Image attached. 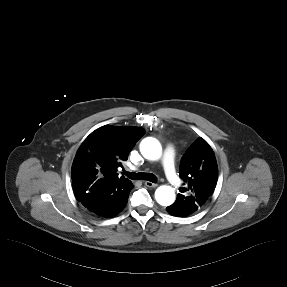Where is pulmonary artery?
<instances>
[{"mask_svg": "<svg viewBox=\"0 0 287 287\" xmlns=\"http://www.w3.org/2000/svg\"><path fill=\"white\" fill-rule=\"evenodd\" d=\"M174 152H175V149L173 145L167 146L161 158V162H162V167L164 169V172L169 182L175 188H179L181 186V182L175 174Z\"/></svg>", "mask_w": 287, "mask_h": 287, "instance_id": "obj_1", "label": "pulmonary artery"}]
</instances>
